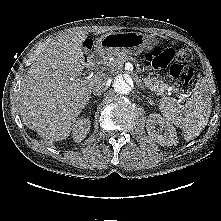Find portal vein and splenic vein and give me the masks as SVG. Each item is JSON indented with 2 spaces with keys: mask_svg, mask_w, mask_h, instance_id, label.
<instances>
[{
  "mask_svg": "<svg viewBox=\"0 0 221 221\" xmlns=\"http://www.w3.org/2000/svg\"><path fill=\"white\" fill-rule=\"evenodd\" d=\"M175 90H176V89H175ZM181 96H182V97H184V95H183V94H181Z\"/></svg>",
  "mask_w": 221,
  "mask_h": 221,
  "instance_id": "obj_1",
  "label": "portal vein and splenic vein"
}]
</instances>
